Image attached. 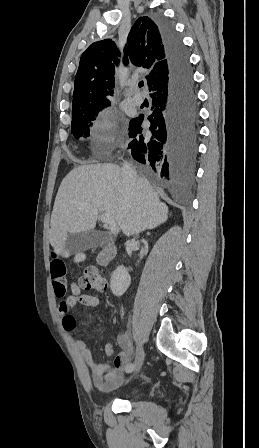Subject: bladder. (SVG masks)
Segmentation results:
<instances>
[{"instance_id":"obj_1","label":"bladder","mask_w":259,"mask_h":448,"mask_svg":"<svg viewBox=\"0 0 259 448\" xmlns=\"http://www.w3.org/2000/svg\"><path fill=\"white\" fill-rule=\"evenodd\" d=\"M138 392H139V389H138V388H133V389H131V390L129 391V394H130V395H136Z\"/></svg>"}]
</instances>
